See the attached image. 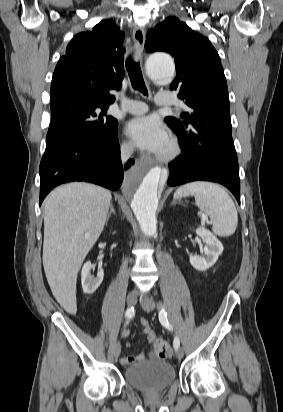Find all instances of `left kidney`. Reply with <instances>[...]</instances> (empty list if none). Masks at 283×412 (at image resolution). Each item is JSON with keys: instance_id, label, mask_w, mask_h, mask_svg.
<instances>
[{"instance_id": "1", "label": "left kidney", "mask_w": 283, "mask_h": 412, "mask_svg": "<svg viewBox=\"0 0 283 412\" xmlns=\"http://www.w3.org/2000/svg\"><path fill=\"white\" fill-rule=\"evenodd\" d=\"M196 233L205 243L204 256H190L189 260L195 269L205 271L216 263L224 248L222 243L209 230L200 227L196 229Z\"/></svg>"}]
</instances>
